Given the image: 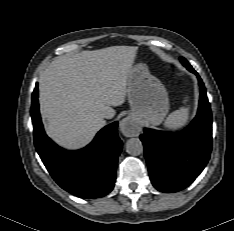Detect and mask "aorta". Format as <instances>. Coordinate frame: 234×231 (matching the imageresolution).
Here are the masks:
<instances>
[{"label":"aorta","instance_id":"1","mask_svg":"<svg viewBox=\"0 0 234 231\" xmlns=\"http://www.w3.org/2000/svg\"><path fill=\"white\" fill-rule=\"evenodd\" d=\"M126 151L131 155H139L143 151V145L140 139L130 138L126 142Z\"/></svg>","mask_w":234,"mask_h":231}]
</instances>
